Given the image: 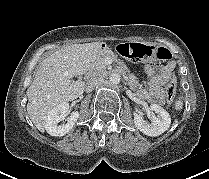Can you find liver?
Wrapping results in <instances>:
<instances>
[{
  "mask_svg": "<svg viewBox=\"0 0 209 179\" xmlns=\"http://www.w3.org/2000/svg\"><path fill=\"white\" fill-rule=\"evenodd\" d=\"M106 51L101 42L64 45L39 61L26 91L27 114L35 127L45 131L48 113L60 104L81 97L85 82L72 80L93 69Z\"/></svg>",
  "mask_w": 209,
  "mask_h": 179,
  "instance_id": "6515ba94",
  "label": "liver"
}]
</instances>
